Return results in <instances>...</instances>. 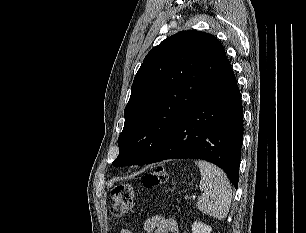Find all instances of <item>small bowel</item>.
Segmentation results:
<instances>
[{"mask_svg": "<svg viewBox=\"0 0 306 233\" xmlns=\"http://www.w3.org/2000/svg\"><path fill=\"white\" fill-rule=\"evenodd\" d=\"M144 233H180L178 222L173 218L155 215L142 224ZM120 233H133L130 228H122Z\"/></svg>", "mask_w": 306, "mask_h": 233, "instance_id": "c3829d8e", "label": "small bowel"}]
</instances>
